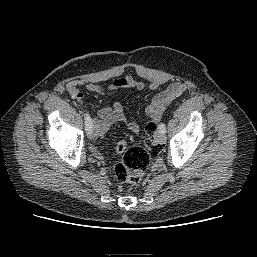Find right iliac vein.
Returning <instances> with one entry per match:
<instances>
[{"mask_svg": "<svg viewBox=\"0 0 257 257\" xmlns=\"http://www.w3.org/2000/svg\"><path fill=\"white\" fill-rule=\"evenodd\" d=\"M88 136H89V138H90L91 140H94V139H96V137H97V136L95 135V133H94L93 130L88 133Z\"/></svg>", "mask_w": 257, "mask_h": 257, "instance_id": "1", "label": "right iliac vein"}]
</instances>
